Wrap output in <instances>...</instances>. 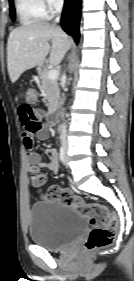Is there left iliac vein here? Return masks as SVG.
<instances>
[{
	"mask_svg": "<svg viewBox=\"0 0 134 281\" xmlns=\"http://www.w3.org/2000/svg\"><path fill=\"white\" fill-rule=\"evenodd\" d=\"M68 159H67V156L65 157V165L67 166L68 165Z\"/></svg>",
	"mask_w": 134,
	"mask_h": 281,
	"instance_id": "1",
	"label": "left iliac vein"
}]
</instances>
